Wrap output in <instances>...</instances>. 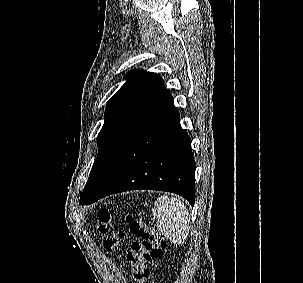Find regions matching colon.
Here are the masks:
<instances>
[{
	"instance_id": "1",
	"label": "colon",
	"mask_w": 303,
	"mask_h": 283,
	"mask_svg": "<svg viewBox=\"0 0 303 283\" xmlns=\"http://www.w3.org/2000/svg\"><path fill=\"white\" fill-rule=\"evenodd\" d=\"M114 214L113 208L103 207L97 211L95 218L96 229L105 247L111 251H117L125 239V233L113 222ZM126 220L130 232L138 237L127 255L131 277L135 283H148V263L162 255L165 241L149 221L131 215Z\"/></svg>"
}]
</instances>
